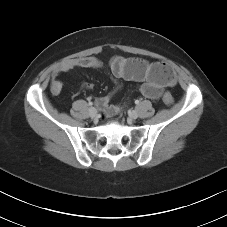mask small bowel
Wrapping results in <instances>:
<instances>
[{
	"instance_id": "obj_1",
	"label": "small bowel",
	"mask_w": 227,
	"mask_h": 227,
	"mask_svg": "<svg viewBox=\"0 0 227 227\" xmlns=\"http://www.w3.org/2000/svg\"><path fill=\"white\" fill-rule=\"evenodd\" d=\"M105 64L93 56L78 57L71 59L59 67L52 74L51 92L59 94L62 89V82L59 76L75 68L101 69ZM110 74L115 83L114 91L106 96L97 99V104L103 108L108 115H114L120 107L110 105L112 95L121 88L122 81H132L139 84L140 93L149 99L156 100L161 96L164 87L173 84L161 77V75L152 68L151 63L139 58H127L123 56L113 57L107 65ZM85 88H90L86 84Z\"/></svg>"
}]
</instances>
